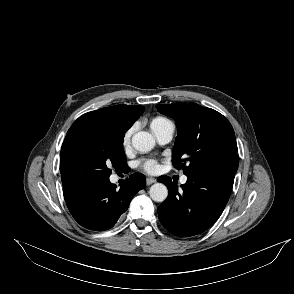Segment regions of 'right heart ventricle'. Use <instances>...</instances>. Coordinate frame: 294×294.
Returning a JSON list of instances; mask_svg holds the SVG:
<instances>
[{
	"label": "right heart ventricle",
	"instance_id": "e07e8e85",
	"mask_svg": "<svg viewBox=\"0 0 294 294\" xmlns=\"http://www.w3.org/2000/svg\"><path fill=\"white\" fill-rule=\"evenodd\" d=\"M171 121L163 116H156L150 121V128L155 134L158 130L169 124Z\"/></svg>",
	"mask_w": 294,
	"mask_h": 294
}]
</instances>
